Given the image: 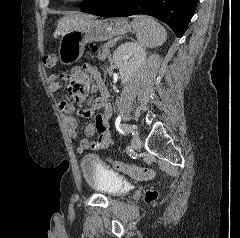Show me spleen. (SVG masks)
Masks as SVG:
<instances>
[{
    "label": "spleen",
    "mask_w": 240,
    "mask_h": 238,
    "mask_svg": "<svg viewBox=\"0 0 240 238\" xmlns=\"http://www.w3.org/2000/svg\"><path fill=\"white\" fill-rule=\"evenodd\" d=\"M131 26L142 47L155 48L162 45L167 39L164 27L150 17L136 16L132 20Z\"/></svg>",
    "instance_id": "spleen-1"
}]
</instances>
